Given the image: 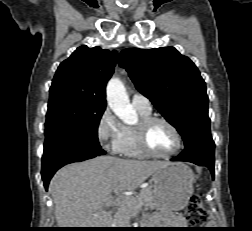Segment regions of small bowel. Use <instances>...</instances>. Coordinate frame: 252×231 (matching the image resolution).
<instances>
[{"instance_id": "obj_1", "label": "small bowel", "mask_w": 252, "mask_h": 231, "mask_svg": "<svg viewBox=\"0 0 252 231\" xmlns=\"http://www.w3.org/2000/svg\"><path fill=\"white\" fill-rule=\"evenodd\" d=\"M177 224H178V226L179 227H181V224H182V217H177ZM178 229H180L179 231H184L183 229L184 228H178ZM159 231H164V230H159Z\"/></svg>"}]
</instances>
